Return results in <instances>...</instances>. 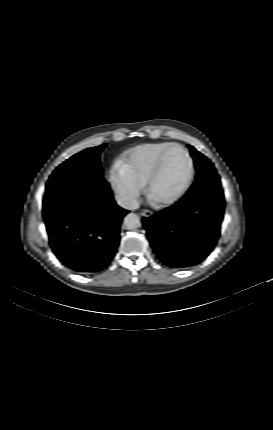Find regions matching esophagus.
Here are the masks:
<instances>
[{
  "label": "esophagus",
  "mask_w": 273,
  "mask_h": 430,
  "mask_svg": "<svg viewBox=\"0 0 273 430\" xmlns=\"http://www.w3.org/2000/svg\"><path fill=\"white\" fill-rule=\"evenodd\" d=\"M141 216H143V217H151L152 216V211L145 209V210H143L141 212Z\"/></svg>",
  "instance_id": "1"
}]
</instances>
